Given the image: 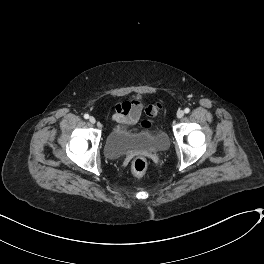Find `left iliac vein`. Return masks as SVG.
Wrapping results in <instances>:
<instances>
[{
  "label": "left iliac vein",
  "mask_w": 264,
  "mask_h": 264,
  "mask_svg": "<svg viewBox=\"0 0 264 264\" xmlns=\"http://www.w3.org/2000/svg\"><path fill=\"white\" fill-rule=\"evenodd\" d=\"M184 116V112L182 110L177 112V117L182 118Z\"/></svg>",
  "instance_id": "4c4485c4"
}]
</instances>
